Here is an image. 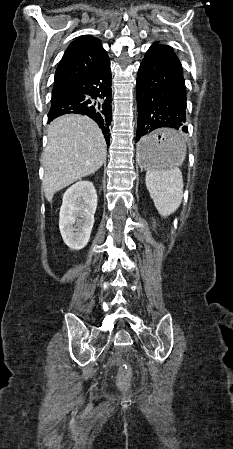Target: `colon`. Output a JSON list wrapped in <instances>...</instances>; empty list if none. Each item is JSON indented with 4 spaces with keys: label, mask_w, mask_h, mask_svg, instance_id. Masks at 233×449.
Returning <instances> with one entry per match:
<instances>
[{
    "label": "colon",
    "mask_w": 233,
    "mask_h": 449,
    "mask_svg": "<svg viewBox=\"0 0 233 449\" xmlns=\"http://www.w3.org/2000/svg\"><path fill=\"white\" fill-rule=\"evenodd\" d=\"M117 387L122 392H128L131 389V374L129 371H121L117 379Z\"/></svg>",
    "instance_id": "5ec220e1"
}]
</instances>
